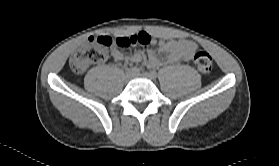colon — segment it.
Wrapping results in <instances>:
<instances>
[{"label":"colon","instance_id":"5ec220e1","mask_svg":"<svg viewBox=\"0 0 279 166\" xmlns=\"http://www.w3.org/2000/svg\"><path fill=\"white\" fill-rule=\"evenodd\" d=\"M146 36L131 37H98L85 42L70 58L69 65L76 74L84 73L91 65L106 60L109 49L117 46L121 48L134 44H147ZM196 68L202 73H209L212 69V56L206 51H196L193 56Z\"/></svg>","mask_w":279,"mask_h":166}]
</instances>
